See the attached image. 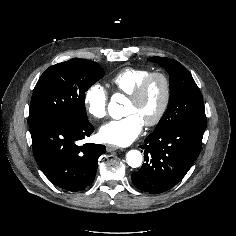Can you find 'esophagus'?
Returning a JSON list of instances; mask_svg holds the SVG:
<instances>
[{
  "instance_id": "obj_1",
  "label": "esophagus",
  "mask_w": 236,
  "mask_h": 236,
  "mask_svg": "<svg viewBox=\"0 0 236 236\" xmlns=\"http://www.w3.org/2000/svg\"><path fill=\"white\" fill-rule=\"evenodd\" d=\"M118 149H120L118 146L110 145V144L106 145V150L108 152L115 151V150H118Z\"/></svg>"
}]
</instances>
